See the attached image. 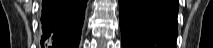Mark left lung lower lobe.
Segmentation results:
<instances>
[{"label":"left lung lower lobe","mask_w":213,"mask_h":48,"mask_svg":"<svg viewBox=\"0 0 213 48\" xmlns=\"http://www.w3.org/2000/svg\"><path fill=\"white\" fill-rule=\"evenodd\" d=\"M178 0H119L122 48H176Z\"/></svg>","instance_id":"left-lung-lower-lobe-1"}]
</instances>
